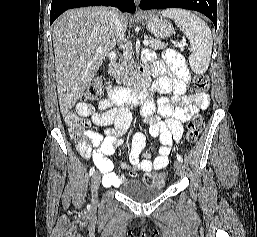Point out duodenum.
Returning <instances> with one entry per match:
<instances>
[{
	"label": "duodenum",
	"instance_id": "duodenum-1",
	"mask_svg": "<svg viewBox=\"0 0 257 237\" xmlns=\"http://www.w3.org/2000/svg\"><path fill=\"white\" fill-rule=\"evenodd\" d=\"M117 56L114 52L108 54V61H116ZM139 72L141 74H146L145 67L140 68ZM149 80L146 77L143 81L133 89H127L122 86H112L108 87V97L116 103H126L130 105H136L142 100H144L149 94Z\"/></svg>",
	"mask_w": 257,
	"mask_h": 237
}]
</instances>
